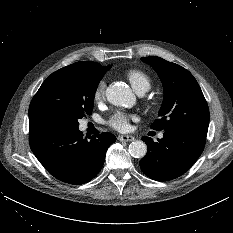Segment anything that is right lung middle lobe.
I'll use <instances>...</instances> for the list:
<instances>
[{
    "instance_id": "obj_1",
    "label": "right lung middle lobe",
    "mask_w": 233,
    "mask_h": 233,
    "mask_svg": "<svg viewBox=\"0 0 233 233\" xmlns=\"http://www.w3.org/2000/svg\"><path fill=\"white\" fill-rule=\"evenodd\" d=\"M105 72L64 67L41 85L29 107V122L77 128L90 115L97 86Z\"/></svg>"
}]
</instances>
